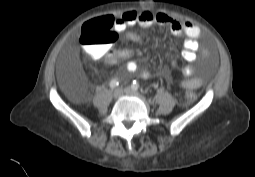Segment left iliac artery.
<instances>
[{"label": "left iliac artery", "mask_w": 255, "mask_h": 177, "mask_svg": "<svg viewBox=\"0 0 255 177\" xmlns=\"http://www.w3.org/2000/svg\"><path fill=\"white\" fill-rule=\"evenodd\" d=\"M132 89L134 90H138L139 89V83L137 81H133L132 85H131Z\"/></svg>", "instance_id": "44dca946"}]
</instances>
